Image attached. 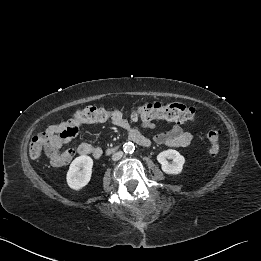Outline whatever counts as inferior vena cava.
I'll use <instances>...</instances> for the list:
<instances>
[{
	"label": "inferior vena cava",
	"mask_w": 261,
	"mask_h": 261,
	"mask_svg": "<svg viewBox=\"0 0 261 261\" xmlns=\"http://www.w3.org/2000/svg\"><path fill=\"white\" fill-rule=\"evenodd\" d=\"M122 156H123V152L122 151H118V152L113 154L112 160L113 161H118L119 159L122 158Z\"/></svg>",
	"instance_id": "1"
}]
</instances>
